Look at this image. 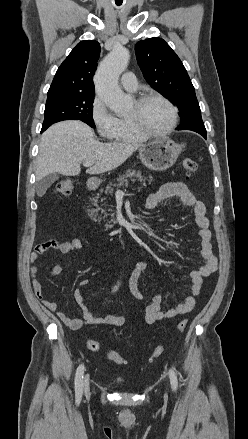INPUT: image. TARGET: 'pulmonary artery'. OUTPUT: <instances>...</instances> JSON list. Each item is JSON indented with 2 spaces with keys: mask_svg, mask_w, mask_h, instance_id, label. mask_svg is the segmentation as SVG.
Returning a JSON list of instances; mask_svg holds the SVG:
<instances>
[{
  "mask_svg": "<svg viewBox=\"0 0 248 439\" xmlns=\"http://www.w3.org/2000/svg\"><path fill=\"white\" fill-rule=\"evenodd\" d=\"M121 85L125 90L130 92H135L137 90L138 84L134 73L132 72L124 73L121 78Z\"/></svg>",
  "mask_w": 248,
  "mask_h": 439,
  "instance_id": "pulmonary-artery-1",
  "label": "pulmonary artery"
}]
</instances>
